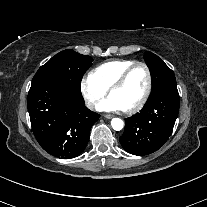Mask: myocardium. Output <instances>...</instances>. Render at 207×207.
I'll return each mask as SVG.
<instances>
[{
  "mask_svg": "<svg viewBox=\"0 0 207 207\" xmlns=\"http://www.w3.org/2000/svg\"><path fill=\"white\" fill-rule=\"evenodd\" d=\"M136 67H142L147 75V85H146V89L145 92L142 96V98L140 99V101L135 104L134 106L128 108V109H124L122 110V112L124 114H134L136 112H138L139 110H141L144 105L147 103L151 91H152V74L150 71L149 66L141 61H137L134 62L132 65H130L115 81L114 83L111 85V87L109 88V96L112 94V92H114L115 90L119 89L120 87L123 86V84L125 83L126 79L128 78L129 74L136 68Z\"/></svg>",
  "mask_w": 207,
  "mask_h": 207,
  "instance_id": "myocardium-1",
  "label": "myocardium"
}]
</instances>
